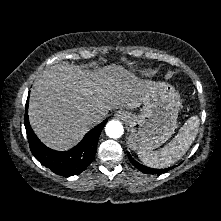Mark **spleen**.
I'll return each instance as SVG.
<instances>
[{"label": "spleen", "instance_id": "spleen-1", "mask_svg": "<svg viewBox=\"0 0 221 221\" xmlns=\"http://www.w3.org/2000/svg\"><path fill=\"white\" fill-rule=\"evenodd\" d=\"M199 127L198 116L190 117L180 128L178 134L165 147L158 151H138L139 159L153 168L169 167L185 155L194 142Z\"/></svg>", "mask_w": 221, "mask_h": 221}]
</instances>
